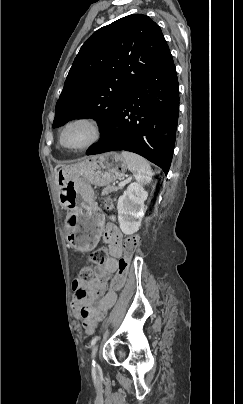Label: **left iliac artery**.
<instances>
[{
	"label": "left iliac artery",
	"mask_w": 243,
	"mask_h": 404,
	"mask_svg": "<svg viewBox=\"0 0 243 404\" xmlns=\"http://www.w3.org/2000/svg\"><path fill=\"white\" fill-rule=\"evenodd\" d=\"M99 339V336H95L92 340H91V345L90 347H93L95 345V343L97 342V340ZM93 366L95 367V361H93Z\"/></svg>",
	"instance_id": "obj_1"
}]
</instances>
